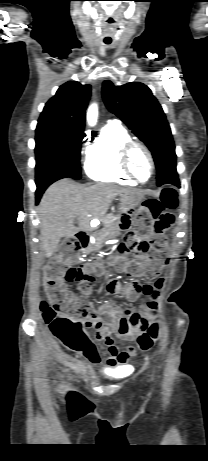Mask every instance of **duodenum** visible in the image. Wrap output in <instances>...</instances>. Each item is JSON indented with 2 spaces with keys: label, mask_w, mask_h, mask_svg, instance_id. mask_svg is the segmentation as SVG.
Instances as JSON below:
<instances>
[{
  "label": "duodenum",
  "mask_w": 208,
  "mask_h": 461,
  "mask_svg": "<svg viewBox=\"0 0 208 461\" xmlns=\"http://www.w3.org/2000/svg\"><path fill=\"white\" fill-rule=\"evenodd\" d=\"M81 239H84L87 241V243L89 244V233L86 232V233H82V235L80 236Z\"/></svg>",
  "instance_id": "obj_1"
}]
</instances>
